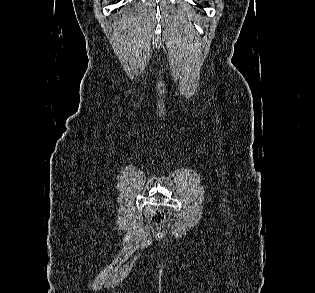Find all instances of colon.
Masks as SVG:
<instances>
[{"mask_svg": "<svg viewBox=\"0 0 315 293\" xmlns=\"http://www.w3.org/2000/svg\"><path fill=\"white\" fill-rule=\"evenodd\" d=\"M146 211L150 214L154 224H161L165 221L166 214L163 210L149 207Z\"/></svg>", "mask_w": 315, "mask_h": 293, "instance_id": "1", "label": "colon"}]
</instances>
